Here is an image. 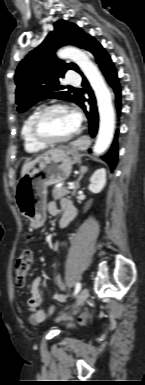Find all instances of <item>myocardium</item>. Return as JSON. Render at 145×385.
Returning <instances> with one entry per match:
<instances>
[{
    "label": "myocardium",
    "mask_w": 145,
    "mask_h": 385,
    "mask_svg": "<svg viewBox=\"0 0 145 385\" xmlns=\"http://www.w3.org/2000/svg\"><path fill=\"white\" fill-rule=\"evenodd\" d=\"M55 110H62V111H66V112L72 114V111L70 110V108L67 105L52 104V105L46 106V107L42 108L41 110H39L38 113L36 114V116L34 117L32 124H31V136H32V138L38 144L45 146V147L67 143V142L73 140L74 138H76L81 132L80 124H79L77 129L72 134H70L69 136H67L65 138H61V139L47 138L42 133L41 124H42L44 118L50 112L55 111Z\"/></svg>",
    "instance_id": "myocardium-1"
}]
</instances>
